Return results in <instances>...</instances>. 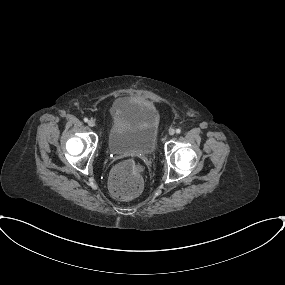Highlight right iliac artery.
Here are the masks:
<instances>
[{"mask_svg": "<svg viewBox=\"0 0 285 285\" xmlns=\"http://www.w3.org/2000/svg\"><path fill=\"white\" fill-rule=\"evenodd\" d=\"M83 120H84V122H88V118H84Z\"/></svg>", "mask_w": 285, "mask_h": 285, "instance_id": "obj_1", "label": "right iliac artery"}]
</instances>
